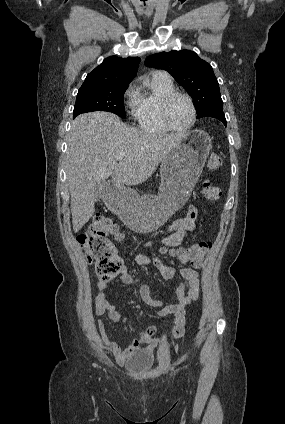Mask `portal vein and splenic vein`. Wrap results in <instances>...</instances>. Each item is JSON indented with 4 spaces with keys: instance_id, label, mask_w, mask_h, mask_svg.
<instances>
[{
    "instance_id": "obj_1",
    "label": "portal vein and splenic vein",
    "mask_w": 285,
    "mask_h": 424,
    "mask_svg": "<svg viewBox=\"0 0 285 424\" xmlns=\"http://www.w3.org/2000/svg\"><path fill=\"white\" fill-rule=\"evenodd\" d=\"M124 157H125V153H124V152H121V153H119V154L117 155L116 159H117V160H122Z\"/></svg>"
}]
</instances>
